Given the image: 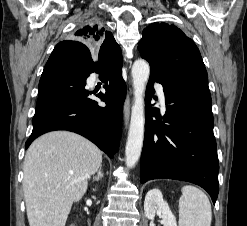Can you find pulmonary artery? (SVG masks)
Listing matches in <instances>:
<instances>
[{
    "instance_id": "pulmonary-artery-1",
    "label": "pulmonary artery",
    "mask_w": 247,
    "mask_h": 226,
    "mask_svg": "<svg viewBox=\"0 0 247 226\" xmlns=\"http://www.w3.org/2000/svg\"><path fill=\"white\" fill-rule=\"evenodd\" d=\"M156 89H157V93H158L161 105L164 108L165 107V96H164L163 88L161 85L157 84Z\"/></svg>"
}]
</instances>
